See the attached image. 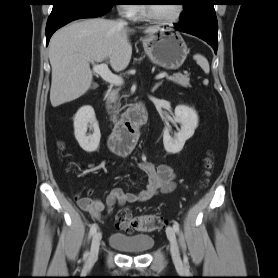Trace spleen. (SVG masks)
Returning <instances> with one entry per match:
<instances>
[{
  "instance_id": "obj_1",
  "label": "spleen",
  "mask_w": 278,
  "mask_h": 278,
  "mask_svg": "<svg viewBox=\"0 0 278 278\" xmlns=\"http://www.w3.org/2000/svg\"><path fill=\"white\" fill-rule=\"evenodd\" d=\"M194 59L196 60L197 64L200 65V67L203 69V71L208 74L210 71V67H209V63H208L207 59L200 54H196L194 56Z\"/></svg>"
}]
</instances>
